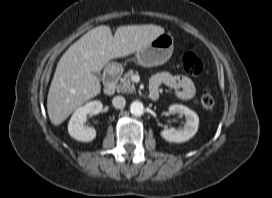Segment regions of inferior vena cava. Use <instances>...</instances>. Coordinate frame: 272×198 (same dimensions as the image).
<instances>
[{"label":"inferior vena cava","mask_w":272,"mask_h":198,"mask_svg":"<svg viewBox=\"0 0 272 198\" xmlns=\"http://www.w3.org/2000/svg\"><path fill=\"white\" fill-rule=\"evenodd\" d=\"M112 104L115 108L121 109L125 106L126 100L123 96H115L112 100Z\"/></svg>","instance_id":"1"}]
</instances>
